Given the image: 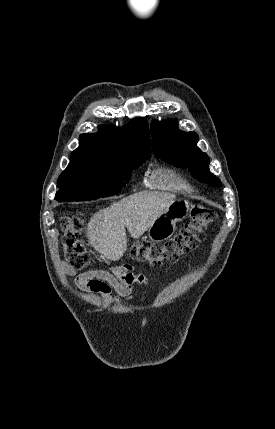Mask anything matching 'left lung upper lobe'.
<instances>
[{
	"label": "left lung upper lobe",
	"mask_w": 275,
	"mask_h": 429,
	"mask_svg": "<svg viewBox=\"0 0 275 429\" xmlns=\"http://www.w3.org/2000/svg\"><path fill=\"white\" fill-rule=\"evenodd\" d=\"M152 143L156 155L167 163L184 168L202 182L221 187L220 180L209 171V158L197 147L198 135L177 128L175 120L153 121Z\"/></svg>",
	"instance_id": "left-lung-upper-lobe-1"
}]
</instances>
